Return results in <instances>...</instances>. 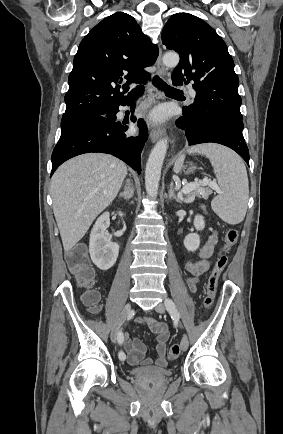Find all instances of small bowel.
Masks as SVG:
<instances>
[{"label":"small bowel","instance_id":"obj_1","mask_svg":"<svg viewBox=\"0 0 283 434\" xmlns=\"http://www.w3.org/2000/svg\"><path fill=\"white\" fill-rule=\"evenodd\" d=\"M217 243L218 236L216 231H213L198 253L199 260L195 262L189 261L186 263V269L191 274V277L187 280V285L192 292H195L197 289L198 277L210 268V259L214 254ZM138 323L145 325L152 333L156 335V350L158 356L155 360L145 357V344L140 339L130 338L129 334L125 333L122 344L125 355H127L128 363L131 365L142 363L144 366L155 365L159 368L166 367V344L169 339V331L166 325L150 317H145L139 320Z\"/></svg>","mask_w":283,"mask_h":434}]
</instances>
